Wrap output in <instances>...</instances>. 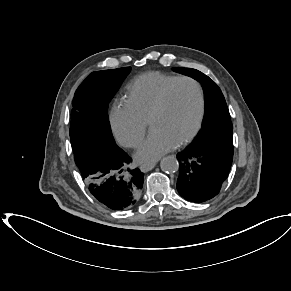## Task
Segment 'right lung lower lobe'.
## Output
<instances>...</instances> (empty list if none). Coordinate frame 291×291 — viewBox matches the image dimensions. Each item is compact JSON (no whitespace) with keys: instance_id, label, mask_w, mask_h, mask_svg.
Here are the masks:
<instances>
[{"instance_id":"98d812e1","label":"right lung lower lobe","mask_w":291,"mask_h":291,"mask_svg":"<svg viewBox=\"0 0 291 291\" xmlns=\"http://www.w3.org/2000/svg\"><path fill=\"white\" fill-rule=\"evenodd\" d=\"M78 168L90 193L107 208L126 210L138 201L144 173L130 166V157L122 149L98 154Z\"/></svg>"}]
</instances>
